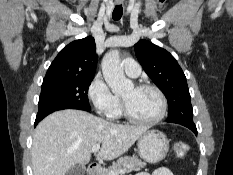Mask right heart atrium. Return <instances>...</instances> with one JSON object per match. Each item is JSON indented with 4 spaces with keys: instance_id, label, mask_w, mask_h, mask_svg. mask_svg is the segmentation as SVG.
<instances>
[{
    "instance_id": "obj_1",
    "label": "right heart atrium",
    "mask_w": 233,
    "mask_h": 175,
    "mask_svg": "<svg viewBox=\"0 0 233 175\" xmlns=\"http://www.w3.org/2000/svg\"><path fill=\"white\" fill-rule=\"evenodd\" d=\"M87 96L95 111L106 116L112 113L118 103V98L100 75H96L90 82Z\"/></svg>"
}]
</instances>
